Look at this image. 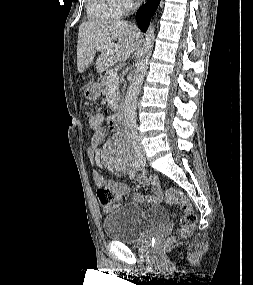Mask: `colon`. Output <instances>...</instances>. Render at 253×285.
<instances>
[{"instance_id":"colon-1","label":"colon","mask_w":253,"mask_h":285,"mask_svg":"<svg viewBox=\"0 0 253 285\" xmlns=\"http://www.w3.org/2000/svg\"><path fill=\"white\" fill-rule=\"evenodd\" d=\"M89 123L91 127H98L101 125L100 116L96 113H90L88 115ZM99 201L108 205L114 202L118 194L111 188L101 187L97 191ZM166 201L171 205H178L182 210L180 218L179 233L182 236L190 234L196 226V215L192 211L191 203L188 198L178 189H168L165 193ZM175 241L174 237H170L167 241L168 245L173 244Z\"/></svg>"}]
</instances>
